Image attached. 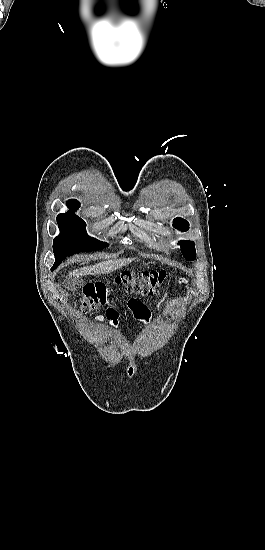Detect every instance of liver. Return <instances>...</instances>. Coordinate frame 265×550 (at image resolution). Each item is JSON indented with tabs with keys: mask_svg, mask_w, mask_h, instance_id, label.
<instances>
[{
	"mask_svg": "<svg viewBox=\"0 0 265 550\" xmlns=\"http://www.w3.org/2000/svg\"><path fill=\"white\" fill-rule=\"evenodd\" d=\"M133 259H112L107 261H101L98 264L93 266H85L80 269H75L69 273V277L78 278L81 276H86L90 274L99 275V274H109L123 266L129 264Z\"/></svg>",
	"mask_w": 265,
	"mask_h": 550,
	"instance_id": "6515ba94",
	"label": "liver"
}]
</instances>
